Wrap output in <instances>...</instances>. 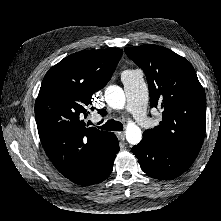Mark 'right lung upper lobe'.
<instances>
[{"label":"right lung upper lobe","instance_id":"right-lung-upper-lobe-1","mask_svg":"<svg viewBox=\"0 0 221 221\" xmlns=\"http://www.w3.org/2000/svg\"><path fill=\"white\" fill-rule=\"evenodd\" d=\"M122 53L115 48L74 53L53 66L42 81L35 102L39 137L53 165L70 180L94 174L109 161L113 133L89 127L83 116L92 95L110 80Z\"/></svg>","mask_w":221,"mask_h":221}]
</instances>
